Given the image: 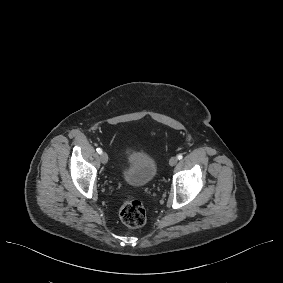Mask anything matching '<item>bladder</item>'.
<instances>
[{
    "mask_svg": "<svg viewBox=\"0 0 283 283\" xmlns=\"http://www.w3.org/2000/svg\"><path fill=\"white\" fill-rule=\"evenodd\" d=\"M158 169L154 156L139 151L131 159V167L125 173V180L131 185H141L153 179Z\"/></svg>",
    "mask_w": 283,
    "mask_h": 283,
    "instance_id": "obj_1",
    "label": "bladder"
}]
</instances>
